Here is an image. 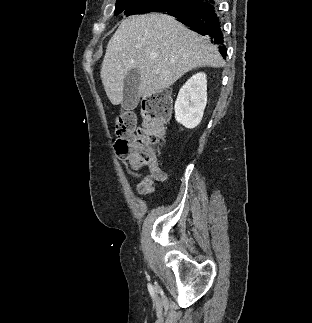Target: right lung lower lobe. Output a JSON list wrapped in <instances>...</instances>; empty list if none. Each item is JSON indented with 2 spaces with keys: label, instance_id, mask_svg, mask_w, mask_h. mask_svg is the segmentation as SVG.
I'll list each match as a JSON object with an SVG mask.
<instances>
[{
  "label": "right lung lower lobe",
  "instance_id": "right-lung-lower-lobe-1",
  "mask_svg": "<svg viewBox=\"0 0 312 323\" xmlns=\"http://www.w3.org/2000/svg\"><path fill=\"white\" fill-rule=\"evenodd\" d=\"M167 13L197 33L208 36L226 58L223 22L214 0H190L179 8L167 10Z\"/></svg>",
  "mask_w": 312,
  "mask_h": 323
}]
</instances>
